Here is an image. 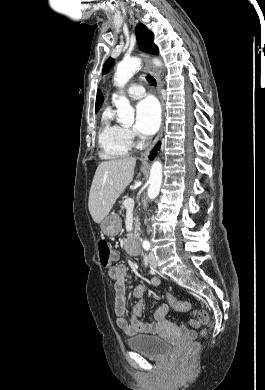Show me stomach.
Segmentation results:
<instances>
[{"label":"stomach","instance_id":"obj_1","mask_svg":"<svg viewBox=\"0 0 265 390\" xmlns=\"http://www.w3.org/2000/svg\"><path fill=\"white\" fill-rule=\"evenodd\" d=\"M100 227L105 235L116 236L122 227L121 219L118 214L112 212L102 220Z\"/></svg>","mask_w":265,"mask_h":390}]
</instances>
